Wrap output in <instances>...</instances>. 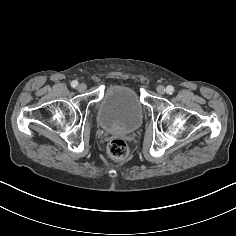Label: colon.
<instances>
[{
	"mask_svg": "<svg viewBox=\"0 0 236 236\" xmlns=\"http://www.w3.org/2000/svg\"><path fill=\"white\" fill-rule=\"evenodd\" d=\"M108 153L114 159L123 160L128 157L129 148L124 140L115 138L108 144Z\"/></svg>",
	"mask_w": 236,
	"mask_h": 236,
	"instance_id": "obj_1",
	"label": "colon"
}]
</instances>
